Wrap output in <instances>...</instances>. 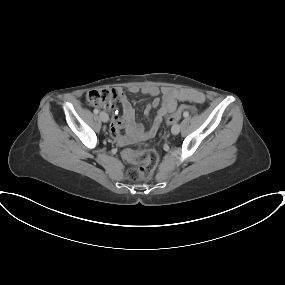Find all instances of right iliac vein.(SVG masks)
I'll return each instance as SVG.
<instances>
[{"mask_svg": "<svg viewBox=\"0 0 285 285\" xmlns=\"http://www.w3.org/2000/svg\"><path fill=\"white\" fill-rule=\"evenodd\" d=\"M99 117L103 122H107L109 120V116L106 112H101L99 114Z\"/></svg>", "mask_w": 285, "mask_h": 285, "instance_id": "1", "label": "right iliac vein"}]
</instances>
